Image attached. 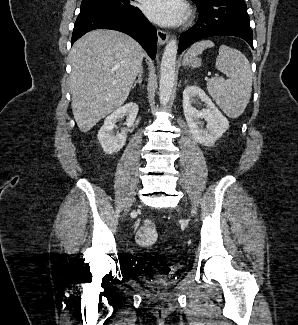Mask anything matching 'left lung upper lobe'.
Returning a JSON list of instances; mask_svg holds the SVG:
<instances>
[{
    "label": "left lung upper lobe",
    "instance_id": "left-lung-upper-lobe-1",
    "mask_svg": "<svg viewBox=\"0 0 298 325\" xmlns=\"http://www.w3.org/2000/svg\"><path fill=\"white\" fill-rule=\"evenodd\" d=\"M194 3L198 4V3H203L206 0H192Z\"/></svg>",
    "mask_w": 298,
    "mask_h": 325
}]
</instances>
